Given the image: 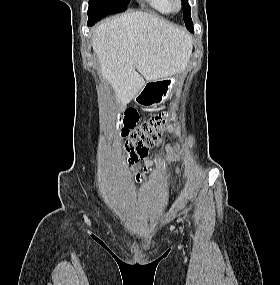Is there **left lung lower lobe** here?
Returning a JSON list of instances; mask_svg holds the SVG:
<instances>
[{
    "label": "left lung lower lobe",
    "instance_id": "0a47b994",
    "mask_svg": "<svg viewBox=\"0 0 280 285\" xmlns=\"http://www.w3.org/2000/svg\"><path fill=\"white\" fill-rule=\"evenodd\" d=\"M189 31L193 33V29H191V30H189Z\"/></svg>",
    "mask_w": 280,
    "mask_h": 285
}]
</instances>
